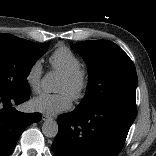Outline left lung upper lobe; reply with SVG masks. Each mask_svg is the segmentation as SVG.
I'll return each instance as SVG.
<instances>
[{"mask_svg":"<svg viewBox=\"0 0 156 156\" xmlns=\"http://www.w3.org/2000/svg\"><path fill=\"white\" fill-rule=\"evenodd\" d=\"M72 49L88 60L89 73L86 95L76 110L109 103L136 108V69L119 46L107 40H92L75 43Z\"/></svg>","mask_w":156,"mask_h":156,"instance_id":"1","label":"left lung upper lobe"}]
</instances>
